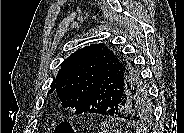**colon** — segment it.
Here are the masks:
<instances>
[{
	"label": "colon",
	"mask_w": 184,
	"mask_h": 133,
	"mask_svg": "<svg viewBox=\"0 0 184 133\" xmlns=\"http://www.w3.org/2000/svg\"><path fill=\"white\" fill-rule=\"evenodd\" d=\"M54 133H76V131L69 123L63 122L56 126Z\"/></svg>",
	"instance_id": "1"
}]
</instances>
